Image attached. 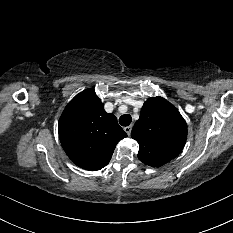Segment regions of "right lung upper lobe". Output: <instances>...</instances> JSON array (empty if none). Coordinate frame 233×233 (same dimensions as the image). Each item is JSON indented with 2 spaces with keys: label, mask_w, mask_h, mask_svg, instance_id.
Returning <instances> with one entry per match:
<instances>
[{
  "label": "right lung upper lobe",
  "mask_w": 233,
  "mask_h": 233,
  "mask_svg": "<svg viewBox=\"0 0 233 233\" xmlns=\"http://www.w3.org/2000/svg\"><path fill=\"white\" fill-rule=\"evenodd\" d=\"M94 90L76 95L64 109L59 120V137L68 157L79 167L96 171L105 167L117 143L127 136L113 114Z\"/></svg>",
  "instance_id": "1"
}]
</instances>
